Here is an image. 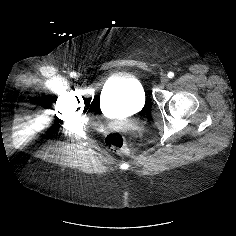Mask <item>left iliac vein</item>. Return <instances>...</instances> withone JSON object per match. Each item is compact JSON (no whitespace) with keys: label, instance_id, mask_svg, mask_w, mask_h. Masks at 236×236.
Instances as JSON below:
<instances>
[{"label":"left iliac vein","instance_id":"1","mask_svg":"<svg viewBox=\"0 0 236 236\" xmlns=\"http://www.w3.org/2000/svg\"><path fill=\"white\" fill-rule=\"evenodd\" d=\"M169 81L168 76L166 74L162 75L160 78V83L165 85Z\"/></svg>","mask_w":236,"mask_h":236}]
</instances>
